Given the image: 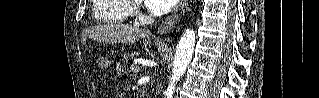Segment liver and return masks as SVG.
<instances>
[{
	"label": "liver",
	"mask_w": 319,
	"mask_h": 98,
	"mask_svg": "<svg viewBox=\"0 0 319 98\" xmlns=\"http://www.w3.org/2000/svg\"><path fill=\"white\" fill-rule=\"evenodd\" d=\"M147 31L138 27L121 24H103L89 28L83 36L103 43H135L145 38Z\"/></svg>",
	"instance_id": "liver-1"
}]
</instances>
